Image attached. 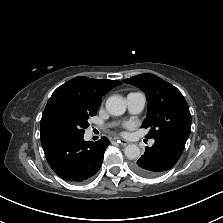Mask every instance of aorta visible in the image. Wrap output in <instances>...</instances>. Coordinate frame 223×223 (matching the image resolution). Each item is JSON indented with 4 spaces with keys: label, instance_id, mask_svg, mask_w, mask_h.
Listing matches in <instances>:
<instances>
[{
    "label": "aorta",
    "instance_id": "1",
    "mask_svg": "<svg viewBox=\"0 0 223 223\" xmlns=\"http://www.w3.org/2000/svg\"><path fill=\"white\" fill-rule=\"evenodd\" d=\"M107 111L114 116H120L126 111V102L123 97L119 95L110 96L106 101ZM125 156L134 160L140 156V148L136 144H129L124 149Z\"/></svg>",
    "mask_w": 223,
    "mask_h": 223
}]
</instances>
